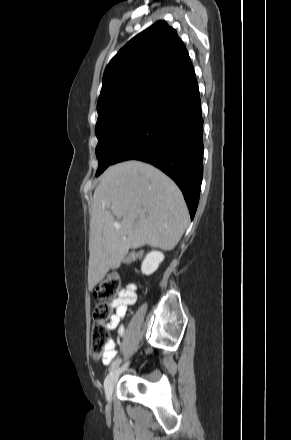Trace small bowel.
I'll list each match as a JSON object with an SVG mask.
<instances>
[{
  "instance_id": "c3829d8e",
  "label": "small bowel",
  "mask_w": 291,
  "mask_h": 440,
  "mask_svg": "<svg viewBox=\"0 0 291 440\" xmlns=\"http://www.w3.org/2000/svg\"><path fill=\"white\" fill-rule=\"evenodd\" d=\"M136 290L137 289L133 284H127L120 296L112 303L115 312L110 317V320L106 324V327L111 330L117 329V335L119 339H121L125 335L126 328L122 324V321L127 316L128 307L136 301ZM115 345V341H109L106 354L103 358V363L105 365H108L116 355Z\"/></svg>"
}]
</instances>
